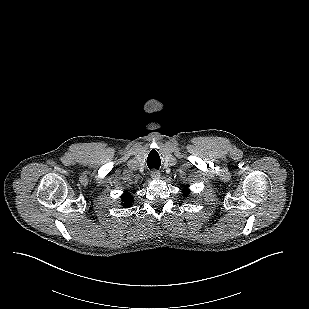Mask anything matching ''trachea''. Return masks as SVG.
<instances>
[{
	"label": "trachea",
	"mask_w": 309,
	"mask_h": 309,
	"mask_svg": "<svg viewBox=\"0 0 309 309\" xmlns=\"http://www.w3.org/2000/svg\"><path fill=\"white\" fill-rule=\"evenodd\" d=\"M147 165L150 169H153V168L158 169L160 167V162L159 161L153 162V161L148 160Z\"/></svg>",
	"instance_id": "obj_1"
}]
</instances>
